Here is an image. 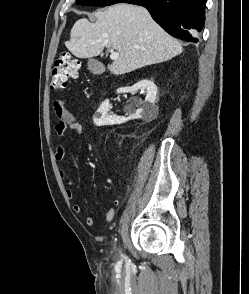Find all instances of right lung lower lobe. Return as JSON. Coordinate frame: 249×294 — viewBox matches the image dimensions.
<instances>
[{
  "instance_id": "98d812e1",
  "label": "right lung lower lobe",
  "mask_w": 249,
  "mask_h": 294,
  "mask_svg": "<svg viewBox=\"0 0 249 294\" xmlns=\"http://www.w3.org/2000/svg\"><path fill=\"white\" fill-rule=\"evenodd\" d=\"M118 3L144 6L170 35L198 42L205 21L206 0H119Z\"/></svg>"
}]
</instances>
